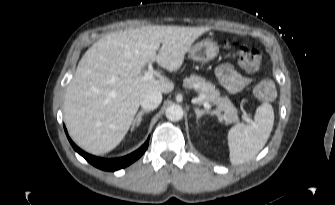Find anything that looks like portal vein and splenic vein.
Here are the masks:
<instances>
[{
    "mask_svg": "<svg viewBox=\"0 0 335 205\" xmlns=\"http://www.w3.org/2000/svg\"><path fill=\"white\" fill-rule=\"evenodd\" d=\"M157 76V74L155 73V71L153 69H148L144 75H143V79L144 80H152L154 79L155 77ZM203 106L206 108V109H210L211 108V105L209 104V102L207 101H204L203 102ZM242 119L247 122V123H250L251 122V119L247 116V115H243L242 116Z\"/></svg>",
    "mask_w": 335,
    "mask_h": 205,
    "instance_id": "1",
    "label": "portal vein and splenic vein"
}]
</instances>
